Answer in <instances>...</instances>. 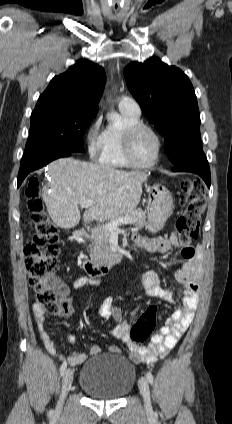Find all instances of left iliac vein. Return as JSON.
<instances>
[{
    "label": "left iliac vein",
    "instance_id": "4c4485c4",
    "mask_svg": "<svg viewBox=\"0 0 232 424\" xmlns=\"http://www.w3.org/2000/svg\"><path fill=\"white\" fill-rule=\"evenodd\" d=\"M139 389L144 401V407L147 413H152V405L150 399V390L148 381L145 377L139 379Z\"/></svg>",
    "mask_w": 232,
    "mask_h": 424
}]
</instances>
